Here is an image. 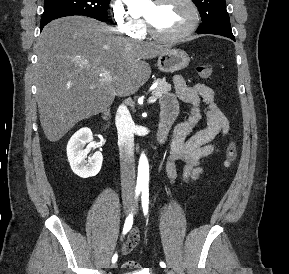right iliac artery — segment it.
Masks as SVG:
<instances>
[{"mask_svg": "<svg viewBox=\"0 0 289 274\" xmlns=\"http://www.w3.org/2000/svg\"><path fill=\"white\" fill-rule=\"evenodd\" d=\"M141 192L140 188L136 189V198H138L139 194ZM132 224H133V213L131 212L128 217L126 218L125 224H124V228H123V235H125L131 228H132ZM118 259V255L117 253H115L112 257V263H115Z\"/></svg>", "mask_w": 289, "mask_h": 274, "instance_id": "82829eb1", "label": "right iliac artery"}]
</instances>
